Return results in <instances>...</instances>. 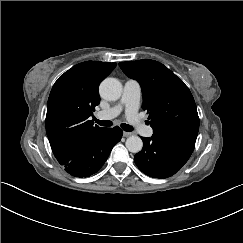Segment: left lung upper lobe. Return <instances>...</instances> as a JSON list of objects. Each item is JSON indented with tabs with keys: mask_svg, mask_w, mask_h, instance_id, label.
Listing matches in <instances>:
<instances>
[{
	"mask_svg": "<svg viewBox=\"0 0 243 243\" xmlns=\"http://www.w3.org/2000/svg\"><path fill=\"white\" fill-rule=\"evenodd\" d=\"M142 88V108L149 113L153 134L196 141L199 117L189 88L172 71L154 60L119 63Z\"/></svg>",
	"mask_w": 243,
	"mask_h": 243,
	"instance_id": "5c2ea615",
	"label": "left lung upper lobe"
}]
</instances>
